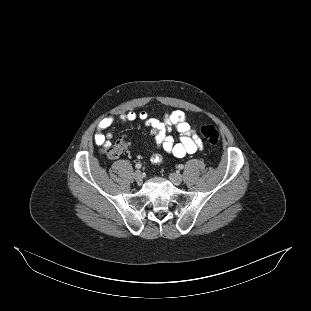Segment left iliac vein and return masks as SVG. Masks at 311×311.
Instances as JSON below:
<instances>
[{
    "label": "left iliac vein",
    "instance_id": "left-iliac-vein-1",
    "mask_svg": "<svg viewBox=\"0 0 311 311\" xmlns=\"http://www.w3.org/2000/svg\"><path fill=\"white\" fill-rule=\"evenodd\" d=\"M169 178L171 180V182L174 184V185H180L182 183V176L180 174H176V173H171L169 175Z\"/></svg>",
    "mask_w": 311,
    "mask_h": 311
}]
</instances>
